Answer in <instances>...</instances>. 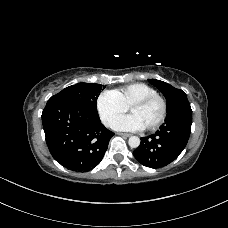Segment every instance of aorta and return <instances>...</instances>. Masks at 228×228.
Wrapping results in <instances>:
<instances>
[{"mask_svg": "<svg viewBox=\"0 0 228 228\" xmlns=\"http://www.w3.org/2000/svg\"><path fill=\"white\" fill-rule=\"evenodd\" d=\"M128 144L131 148H137L140 145V138L137 136H131L128 140Z\"/></svg>", "mask_w": 228, "mask_h": 228, "instance_id": "762f6f07", "label": "aorta"}]
</instances>
